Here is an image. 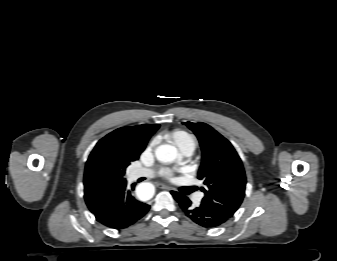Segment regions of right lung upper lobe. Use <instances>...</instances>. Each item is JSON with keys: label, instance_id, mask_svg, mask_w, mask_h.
<instances>
[{"label": "right lung upper lobe", "instance_id": "right-lung-upper-lobe-1", "mask_svg": "<svg viewBox=\"0 0 337 261\" xmlns=\"http://www.w3.org/2000/svg\"><path fill=\"white\" fill-rule=\"evenodd\" d=\"M159 126L144 124L122 127L96 144L86 162L84 173V198L92 213L126 183V167L139 158Z\"/></svg>", "mask_w": 337, "mask_h": 261}]
</instances>
